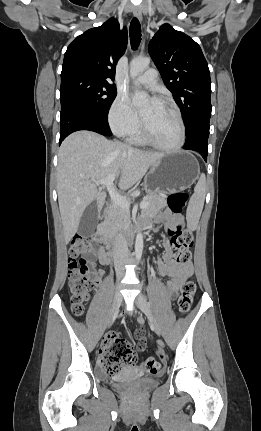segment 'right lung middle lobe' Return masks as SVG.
Masks as SVG:
<instances>
[{
    "label": "right lung middle lobe",
    "mask_w": 261,
    "mask_h": 431,
    "mask_svg": "<svg viewBox=\"0 0 261 431\" xmlns=\"http://www.w3.org/2000/svg\"><path fill=\"white\" fill-rule=\"evenodd\" d=\"M117 95L115 85L86 74L61 77L60 100L99 115L107 116Z\"/></svg>",
    "instance_id": "1"
}]
</instances>
